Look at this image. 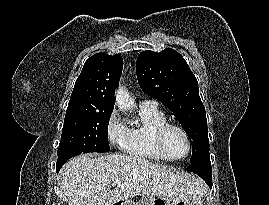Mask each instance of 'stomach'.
Listing matches in <instances>:
<instances>
[{
  "label": "stomach",
  "mask_w": 269,
  "mask_h": 205,
  "mask_svg": "<svg viewBox=\"0 0 269 205\" xmlns=\"http://www.w3.org/2000/svg\"><path fill=\"white\" fill-rule=\"evenodd\" d=\"M116 205H203V200L201 196L165 198L146 195L137 203L130 200H121Z\"/></svg>",
  "instance_id": "1"
}]
</instances>
